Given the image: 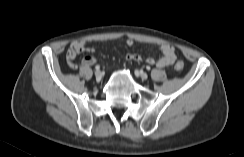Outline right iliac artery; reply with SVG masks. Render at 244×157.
I'll return each instance as SVG.
<instances>
[{
    "label": "right iliac artery",
    "instance_id": "1",
    "mask_svg": "<svg viewBox=\"0 0 244 157\" xmlns=\"http://www.w3.org/2000/svg\"><path fill=\"white\" fill-rule=\"evenodd\" d=\"M99 69H100V66H99V65H96V66H95V70H96V71H99Z\"/></svg>",
    "mask_w": 244,
    "mask_h": 157
}]
</instances>
